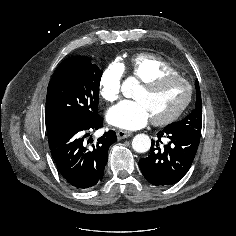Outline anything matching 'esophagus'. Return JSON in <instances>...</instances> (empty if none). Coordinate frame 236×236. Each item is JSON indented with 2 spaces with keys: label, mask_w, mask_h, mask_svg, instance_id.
<instances>
[{
  "label": "esophagus",
  "mask_w": 236,
  "mask_h": 236,
  "mask_svg": "<svg viewBox=\"0 0 236 236\" xmlns=\"http://www.w3.org/2000/svg\"><path fill=\"white\" fill-rule=\"evenodd\" d=\"M116 134L119 140L128 138L132 135L130 131H126V130H118Z\"/></svg>",
  "instance_id": "1"
}]
</instances>
